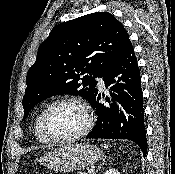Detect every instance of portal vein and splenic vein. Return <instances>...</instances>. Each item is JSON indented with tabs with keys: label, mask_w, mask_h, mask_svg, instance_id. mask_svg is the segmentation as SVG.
Returning <instances> with one entry per match:
<instances>
[{
	"label": "portal vein and splenic vein",
	"mask_w": 175,
	"mask_h": 174,
	"mask_svg": "<svg viewBox=\"0 0 175 174\" xmlns=\"http://www.w3.org/2000/svg\"><path fill=\"white\" fill-rule=\"evenodd\" d=\"M88 173L89 174H94V170H89Z\"/></svg>",
	"instance_id": "obj_1"
}]
</instances>
